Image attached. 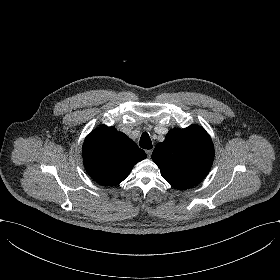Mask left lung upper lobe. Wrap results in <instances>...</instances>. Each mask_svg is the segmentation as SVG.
<instances>
[{
  "mask_svg": "<svg viewBox=\"0 0 280 280\" xmlns=\"http://www.w3.org/2000/svg\"><path fill=\"white\" fill-rule=\"evenodd\" d=\"M162 177L174 188L187 189L200 183L211 169L214 146L198 125L171 129L152 154Z\"/></svg>",
  "mask_w": 280,
  "mask_h": 280,
  "instance_id": "obj_1",
  "label": "left lung upper lobe"
}]
</instances>
